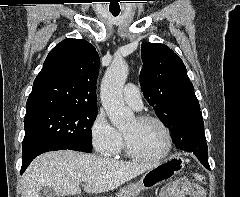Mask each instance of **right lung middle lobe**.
Returning a JSON list of instances; mask_svg holds the SVG:
<instances>
[{"mask_svg": "<svg viewBox=\"0 0 240 197\" xmlns=\"http://www.w3.org/2000/svg\"><path fill=\"white\" fill-rule=\"evenodd\" d=\"M97 112V108L70 107H45L26 112L22 156L27 150L47 145L90 153L91 127Z\"/></svg>", "mask_w": 240, "mask_h": 197, "instance_id": "1", "label": "right lung middle lobe"}]
</instances>
